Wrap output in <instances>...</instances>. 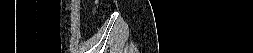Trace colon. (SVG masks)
Listing matches in <instances>:
<instances>
[{"mask_svg": "<svg viewBox=\"0 0 253 53\" xmlns=\"http://www.w3.org/2000/svg\"><path fill=\"white\" fill-rule=\"evenodd\" d=\"M99 2H100L99 0L95 1V6L93 7L91 11L92 15H94L97 12V7H98Z\"/></svg>", "mask_w": 253, "mask_h": 53, "instance_id": "1", "label": "colon"}]
</instances>
